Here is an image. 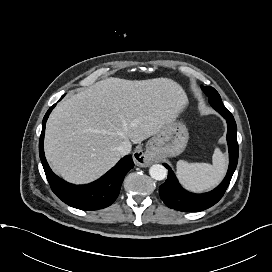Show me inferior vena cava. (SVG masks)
I'll list each match as a JSON object with an SVG mask.
<instances>
[{"mask_svg": "<svg viewBox=\"0 0 272 272\" xmlns=\"http://www.w3.org/2000/svg\"><path fill=\"white\" fill-rule=\"evenodd\" d=\"M131 142L130 141H123L118 147L117 150L121 154V156L127 155L131 152Z\"/></svg>", "mask_w": 272, "mask_h": 272, "instance_id": "1", "label": "inferior vena cava"}]
</instances>
